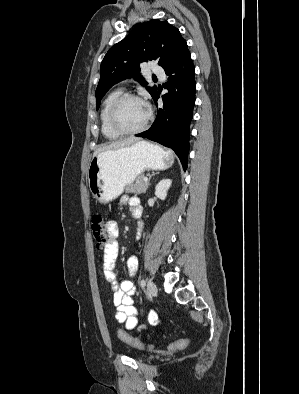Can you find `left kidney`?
<instances>
[{
	"mask_svg": "<svg viewBox=\"0 0 299 394\" xmlns=\"http://www.w3.org/2000/svg\"><path fill=\"white\" fill-rule=\"evenodd\" d=\"M172 181L170 179L161 180L155 187V195L161 200H165L167 192L171 186Z\"/></svg>",
	"mask_w": 299,
	"mask_h": 394,
	"instance_id": "left-kidney-1",
	"label": "left kidney"
}]
</instances>
